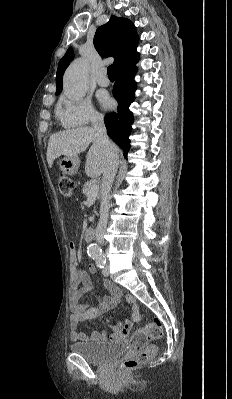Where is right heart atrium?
Here are the masks:
<instances>
[{"instance_id":"d8ad5b80","label":"right heart atrium","mask_w":232,"mask_h":399,"mask_svg":"<svg viewBox=\"0 0 232 399\" xmlns=\"http://www.w3.org/2000/svg\"><path fill=\"white\" fill-rule=\"evenodd\" d=\"M56 116L64 128H72V125H90V122L99 120L98 114L91 106L65 103V100L57 106Z\"/></svg>"}]
</instances>
